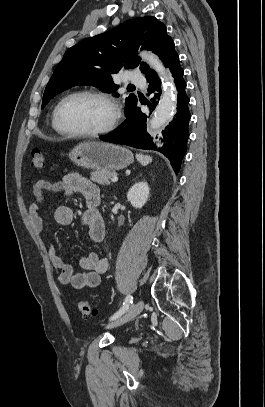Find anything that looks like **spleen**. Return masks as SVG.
I'll list each match as a JSON object with an SVG mask.
<instances>
[{
    "label": "spleen",
    "mask_w": 265,
    "mask_h": 407,
    "mask_svg": "<svg viewBox=\"0 0 265 407\" xmlns=\"http://www.w3.org/2000/svg\"><path fill=\"white\" fill-rule=\"evenodd\" d=\"M136 157L143 166L148 165L152 161V158L148 155L136 154Z\"/></svg>",
    "instance_id": "spleen-1"
}]
</instances>
